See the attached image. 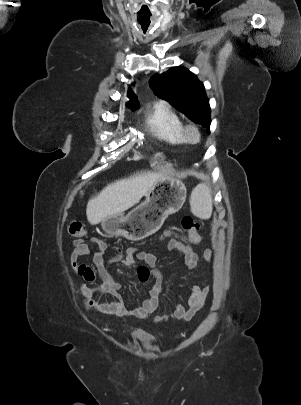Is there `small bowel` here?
Listing matches in <instances>:
<instances>
[{
	"label": "small bowel",
	"mask_w": 301,
	"mask_h": 405,
	"mask_svg": "<svg viewBox=\"0 0 301 405\" xmlns=\"http://www.w3.org/2000/svg\"><path fill=\"white\" fill-rule=\"evenodd\" d=\"M181 236L172 230H167L161 235V239H168L166 250L176 251L184 258V264L187 269L192 270L197 264L198 256L194 250V247L189 246L188 243L182 241ZM91 241L96 244L97 250L91 253L88 244L81 238H77L73 242V250L70 254L71 267L79 275L89 282L96 280V275L93 269L89 266L79 264L78 259L81 257L92 256V260L96 265L101 283L94 287L82 286L80 288L81 295L90 301L95 295L108 294L113 297V301L104 307V312L112 314L117 317H123L126 315H133L137 318H146L152 314L160 305L161 298L164 294L162 286V278L158 269H156L157 257L155 254L149 251H135L134 249H127L125 252L120 253L107 261L104 257V253L108 248V245L103 240L91 237ZM184 243V244H183ZM143 264H136L134 259ZM212 256L211 250L204 251V257L206 260H210ZM122 262L127 266L136 268L137 277L140 282L145 283L152 278L154 280L153 285L149 289L148 297L141 303L140 306L133 310H129L123 297L120 294V283L113 277L109 271V265ZM209 286L198 287L193 286L191 288L188 304L185 307L183 304L178 303L175 305L173 314L170 316H158L156 321H167L169 319L176 320H190L204 305V302L209 294Z\"/></svg>",
	"instance_id": "small-bowel-1"
}]
</instances>
